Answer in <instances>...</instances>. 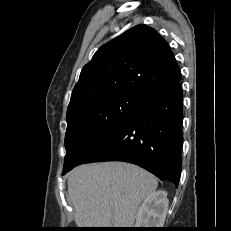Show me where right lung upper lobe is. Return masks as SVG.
Returning <instances> with one entry per match:
<instances>
[{
    "instance_id": "1",
    "label": "right lung upper lobe",
    "mask_w": 231,
    "mask_h": 231,
    "mask_svg": "<svg viewBox=\"0 0 231 231\" xmlns=\"http://www.w3.org/2000/svg\"><path fill=\"white\" fill-rule=\"evenodd\" d=\"M180 81L168 43L156 30L137 25L101 46L83 67L67 113L116 95L140 97Z\"/></svg>"
}]
</instances>
